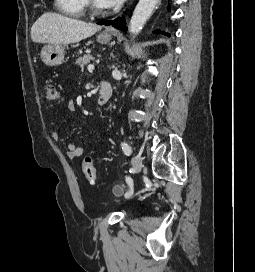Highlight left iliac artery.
<instances>
[{
    "mask_svg": "<svg viewBox=\"0 0 255 272\" xmlns=\"http://www.w3.org/2000/svg\"><path fill=\"white\" fill-rule=\"evenodd\" d=\"M121 146H122V150L124 152L125 155L127 156H130L131 153H132V149L131 147L126 143V142H122L121 143ZM126 185L129 186V188H132V185H133V180L131 177H127L126 178ZM132 194H134V191L131 189L129 192H127L125 194V197H130Z\"/></svg>",
    "mask_w": 255,
    "mask_h": 272,
    "instance_id": "left-iliac-artery-1",
    "label": "left iliac artery"
}]
</instances>
